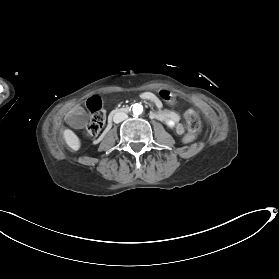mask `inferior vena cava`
Segmentation results:
<instances>
[{"label": "inferior vena cava", "instance_id": "1", "mask_svg": "<svg viewBox=\"0 0 279 279\" xmlns=\"http://www.w3.org/2000/svg\"><path fill=\"white\" fill-rule=\"evenodd\" d=\"M126 118H128V116L126 115V113H123V112H118V113H115L114 117H113V121L115 123H119L123 120H125Z\"/></svg>", "mask_w": 279, "mask_h": 279}]
</instances>
